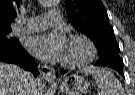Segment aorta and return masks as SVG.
I'll return each mask as SVG.
<instances>
[{
    "label": "aorta",
    "mask_w": 135,
    "mask_h": 95,
    "mask_svg": "<svg viewBox=\"0 0 135 95\" xmlns=\"http://www.w3.org/2000/svg\"><path fill=\"white\" fill-rule=\"evenodd\" d=\"M44 6H53L58 0H40Z\"/></svg>",
    "instance_id": "aorta-1"
}]
</instances>
